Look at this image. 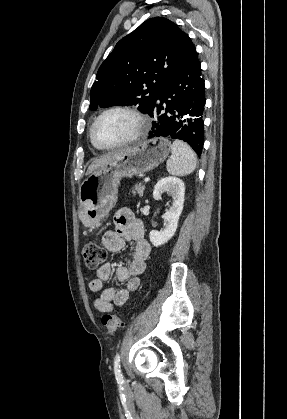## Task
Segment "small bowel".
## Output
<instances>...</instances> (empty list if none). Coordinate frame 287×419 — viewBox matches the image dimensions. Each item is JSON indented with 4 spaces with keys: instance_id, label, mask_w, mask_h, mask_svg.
Masks as SVG:
<instances>
[{
    "instance_id": "1",
    "label": "small bowel",
    "mask_w": 287,
    "mask_h": 419,
    "mask_svg": "<svg viewBox=\"0 0 287 419\" xmlns=\"http://www.w3.org/2000/svg\"><path fill=\"white\" fill-rule=\"evenodd\" d=\"M115 228L107 230L102 236L103 245L111 252H118L125 247L126 242H134L135 246L130 256L128 266L115 269L118 281H125L123 289L104 288V282L112 275L111 264H105L97 270V275L90 281L89 287L93 292H99L95 300L96 308L101 312L109 311L113 305L126 304L132 292L140 285L139 276L146 268V260L150 254V245L144 239L143 223L136 219L128 209H120L114 216Z\"/></svg>"
}]
</instances>
